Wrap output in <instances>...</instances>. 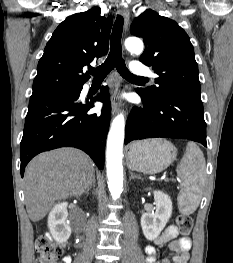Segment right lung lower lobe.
Here are the masks:
<instances>
[{"label":"right lung lower lobe","instance_id":"right-lung-lower-lobe-1","mask_svg":"<svg viewBox=\"0 0 233 263\" xmlns=\"http://www.w3.org/2000/svg\"><path fill=\"white\" fill-rule=\"evenodd\" d=\"M81 90L82 86L30 99L21 140L22 177L35 155L65 146L85 151L100 169L104 168L111 117L108 87H102L90 102L79 101ZM95 101L104 103L101 113L87 114Z\"/></svg>","mask_w":233,"mask_h":263}]
</instances>
